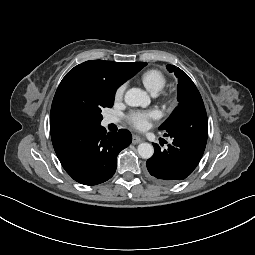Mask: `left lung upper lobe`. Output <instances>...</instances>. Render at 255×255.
Segmentation results:
<instances>
[{"label": "left lung upper lobe", "mask_w": 255, "mask_h": 255, "mask_svg": "<svg viewBox=\"0 0 255 255\" xmlns=\"http://www.w3.org/2000/svg\"><path fill=\"white\" fill-rule=\"evenodd\" d=\"M166 68L169 72H174L178 78L177 99L179 104L166 122L159 127V130L162 131L168 129L194 109L204 106L201 95L189 76L176 66L167 65Z\"/></svg>", "instance_id": "1"}]
</instances>
